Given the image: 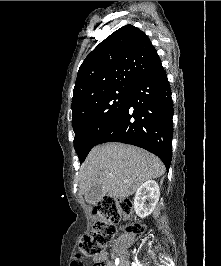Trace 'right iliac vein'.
Masks as SVG:
<instances>
[{"label":"right iliac vein","instance_id":"right-iliac-vein-1","mask_svg":"<svg viewBox=\"0 0 221 266\" xmlns=\"http://www.w3.org/2000/svg\"><path fill=\"white\" fill-rule=\"evenodd\" d=\"M120 266H128V255L127 254L123 255L120 261Z\"/></svg>","mask_w":221,"mask_h":266}]
</instances>
